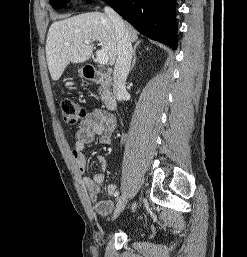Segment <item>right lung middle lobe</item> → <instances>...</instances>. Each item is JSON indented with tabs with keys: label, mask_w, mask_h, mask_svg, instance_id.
Instances as JSON below:
<instances>
[{
	"label": "right lung middle lobe",
	"mask_w": 247,
	"mask_h": 257,
	"mask_svg": "<svg viewBox=\"0 0 247 257\" xmlns=\"http://www.w3.org/2000/svg\"><path fill=\"white\" fill-rule=\"evenodd\" d=\"M54 8H61L65 5L67 0H49Z\"/></svg>",
	"instance_id": "right-lung-middle-lobe-1"
}]
</instances>
